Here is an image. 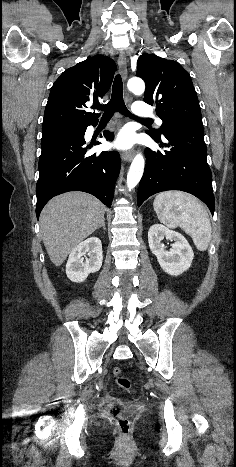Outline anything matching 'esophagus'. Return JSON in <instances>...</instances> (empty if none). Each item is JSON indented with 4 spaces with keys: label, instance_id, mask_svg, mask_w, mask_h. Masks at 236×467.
I'll use <instances>...</instances> for the list:
<instances>
[{
    "label": "esophagus",
    "instance_id": "1",
    "mask_svg": "<svg viewBox=\"0 0 236 467\" xmlns=\"http://www.w3.org/2000/svg\"><path fill=\"white\" fill-rule=\"evenodd\" d=\"M118 66H119V70H120L123 80L126 81L128 71H127L126 57L123 52H119ZM133 156H134V152L128 151V152H123L121 157L123 161L130 162L133 159Z\"/></svg>",
    "mask_w": 236,
    "mask_h": 467
}]
</instances>
